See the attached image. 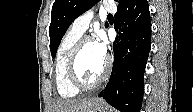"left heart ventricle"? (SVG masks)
I'll list each match as a JSON object with an SVG mask.
<instances>
[{
  "label": "left heart ventricle",
  "instance_id": "left-heart-ventricle-1",
  "mask_svg": "<svg viewBox=\"0 0 193 112\" xmlns=\"http://www.w3.org/2000/svg\"><path fill=\"white\" fill-rule=\"evenodd\" d=\"M105 58L99 53L95 42L86 43L79 55L78 73L85 82H94L102 73Z\"/></svg>",
  "mask_w": 193,
  "mask_h": 112
}]
</instances>
